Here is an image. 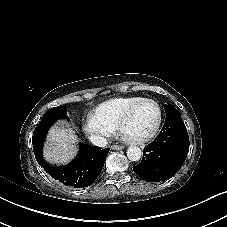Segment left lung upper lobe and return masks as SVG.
Masks as SVG:
<instances>
[{
	"label": "left lung upper lobe",
	"mask_w": 227,
	"mask_h": 227,
	"mask_svg": "<svg viewBox=\"0 0 227 227\" xmlns=\"http://www.w3.org/2000/svg\"><path fill=\"white\" fill-rule=\"evenodd\" d=\"M166 116L181 117L180 112L172 105H165Z\"/></svg>",
	"instance_id": "left-lung-upper-lobe-1"
}]
</instances>
